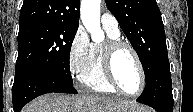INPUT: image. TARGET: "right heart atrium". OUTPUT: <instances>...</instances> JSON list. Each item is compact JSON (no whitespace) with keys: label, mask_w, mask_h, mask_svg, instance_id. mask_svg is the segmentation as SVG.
Masks as SVG:
<instances>
[{"label":"right heart atrium","mask_w":193,"mask_h":112,"mask_svg":"<svg viewBox=\"0 0 193 112\" xmlns=\"http://www.w3.org/2000/svg\"><path fill=\"white\" fill-rule=\"evenodd\" d=\"M92 44L83 27L74 33L68 50V68L72 76L80 77L86 69L90 58Z\"/></svg>","instance_id":"right-heart-atrium-1"}]
</instances>
